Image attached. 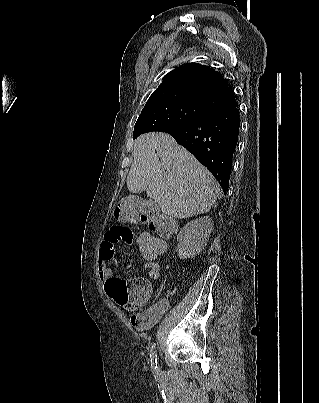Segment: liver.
<instances>
[{
    "instance_id": "liver-1",
    "label": "liver",
    "mask_w": 319,
    "mask_h": 403,
    "mask_svg": "<svg viewBox=\"0 0 319 403\" xmlns=\"http://www.w3.org/2000/svg\"><path fill=\"white\" fill-rule=\"evenodd\" d=\"M127 177L132 193L145 191L162 212L174 218L206 213L219 196V185L207 168L166 133L139 136Z\"/></svg>"
}]
</instances>
